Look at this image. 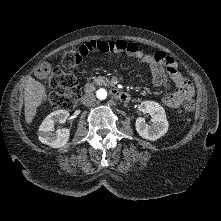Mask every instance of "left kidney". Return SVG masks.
Returning a JSON list of instances; mask_svg holds the SVG:
<instances>
[{"instance_id": "left-kidney-1", "label": "left kidney", "mask_w": 221, "mask_h": 221, "mask_svg": "<svg viewBox=\"0 0 221 221\" xmlns=\"http://www.w3.org/2000/svg\"><path fill=\"white\" fill-rule=\"evenodd\" d=\"M138 109L152 117L151 125H148L144 118L139 117L136 119L135 126L138 134L150 141H155L164 136L169 127L164 108L157 102L143 101L138 106Z\"/></svg>"}]
</instances>
